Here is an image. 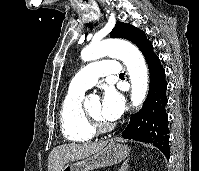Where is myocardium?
Here are the masks:
<instances>
[{
  "label": "myocardium",
  "mask_w": 199,
  "mask_h": 171,
  "mask_svg": "<svg viewBox=\"0 0 199 171\" xmlns=\"http://www.w3.org/2000/svg\"><path fill=\"white\" fill-rule=\"evenodd\" d=\"M86 115L88 117L90 126L94 130V132H107L113 128L112 125L100 120L99 118L95 117L93 114H91L88 110H85Z\"/></svg>",
  "instance_id": "obj_1"
}]
</instances>
